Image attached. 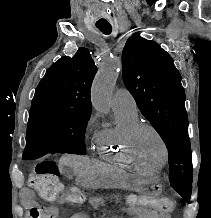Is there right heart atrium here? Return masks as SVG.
<instances>
[{"instance_id": "obj_1", "label": "right heart atrium", "mask_w": 211, "mask_h": 218, "mask_svg": "<svg viewBox=\"0 0 211 218\" xmlns=\"http://www.w3.org/2000/svg\"><path fill=\"white\" fill-rule=\"evenodd\" d=\"M87 127L90 131L93 132V136L97 139L98 135L100 134V130L97 128V116L92 115L87 122Z\"/></svg>"}]
</instances>
